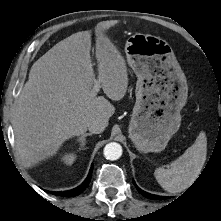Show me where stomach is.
Returning <instances> with one entry per match:
<instances>
[{
    "instance_id": "1",
    "label": "stomach",
    "mask_w": 221,
    "mask_h": 221,
    "mask_svg": "<svg viewBox=\"0 0 221 221\" xmlns=\"http://www.w3.org/2000/svg\"><path fill=\"white\" fill-rule=\"evenodd\" d=\"M137 76L129 138L143 153L163 151L181 124L188 86L171 46L160 37L136 33L125 44Z\"/></svg>"
}]
</instances>
